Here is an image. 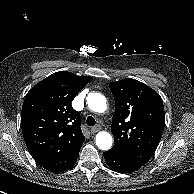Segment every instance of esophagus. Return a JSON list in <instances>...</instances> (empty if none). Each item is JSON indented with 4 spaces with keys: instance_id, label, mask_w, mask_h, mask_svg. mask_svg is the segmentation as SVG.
Listing matches in <instances>:
<instances>
[{
    "instance_id": "1",
    "label": "esophagus",
    "mask_w": 194,
    "mask_h": 194,
    "mask_svg": "<svg viewBox=\"0 0 194 194\" xmlns=\"http://www.w3.org/2000/svg\"><path fill=\"white\" fill-rule=\"evenodd\" d=\"M100 129H101V127H100L99 125H97V126L92 127V128L90 129V131H91L92 134H95V133H97L98 131H100Z\"/></svg>"
}]
</instances>
